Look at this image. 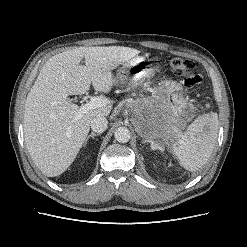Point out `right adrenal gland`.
<instances>
[{
  "label": "right adrenal gland",
  "instance_id": "2a0ac1e0",
  "mask_svg": "<svg viewBox=\"0 0 247 247\" xmlns=\"http://www.w3.org/2000/svg\"><path fill=\"white\" fill-rule=\"evenodd\" d=\"M100 135V133H94L92 132L90 135L87 136L85 142H84V147H86L87 143H88V140L92 137L94 139L95 136H98Z\"/></svg>",
  "mask_w": 247,
  "mask_h": 247
}]
</instances>
